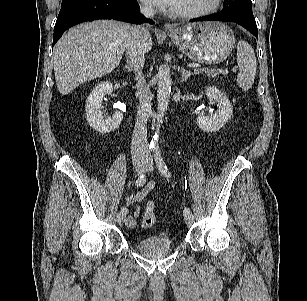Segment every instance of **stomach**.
<instances>
[{"label":"stomach","instance_id":"stomach-1","mask_svg":"<svg viewBox=\"0 0 307 301\" xmlns=\"http://www.w3.org/2000/svg\"><path fill=\"white\" fill-rule=\"evenodd\" d=\"M168 35L181 52L200 63L223 61L235 45L233 31L221 22L187 24L168 31Z\"/></svg>","mask_w":307,"mask_h":301}]
</instances>
